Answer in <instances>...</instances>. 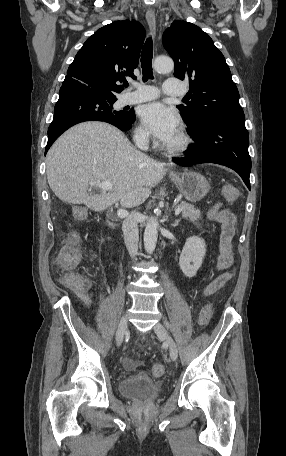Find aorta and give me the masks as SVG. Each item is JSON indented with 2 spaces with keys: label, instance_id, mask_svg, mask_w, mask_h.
<instances>
[{
  "label": "aorta",
  "instance_id": "obj_1",
  "mask_svg": "<svg viewBox=\"0 0 286 456\" xmlns=\"http://www.w3.org/2000/svg\"><path fill=\"white\" fill-rule=\"evenodd\" d=\"M154 69L158 73H168L174 69V62L168 57H157L154 61ZM158 221L156 218H151L144 231V248L149 254L153 253L156 248L158 238Z\"/></svg>",
  "mask_w": 286,
  "mask_h": 456
}]
</instances>
